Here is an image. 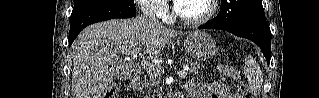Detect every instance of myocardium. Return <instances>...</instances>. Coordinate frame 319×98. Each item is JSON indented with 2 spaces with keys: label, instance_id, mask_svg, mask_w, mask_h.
Masks as SVG:
<instances>
[{
  "label": "myocardium",
  "instance_id": "obj_1",
  "mask_svg": "<svg viewBox=\"0 0 319 98\" xmlns=\"http://www.w3.org/2000/svg\"><path fill=\"white\" fill-rule=\"evenodd\" d=\"M218 0H208V10L197 18H188L175 11V16L184 24L189 26H198L207 23L213 18L218 8Z\"/></svg>",
  "mask_w": 319,
  "mask_h": 98
}]
</instances>
